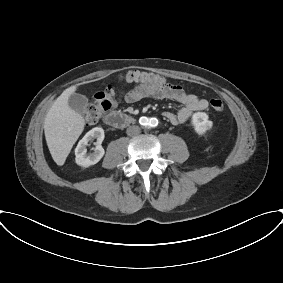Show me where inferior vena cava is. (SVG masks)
Wrapping results in <instances>:
<instances>
[{
	"instance_id": "1",
	"label": "inferior vena cava",
	"mask_w": 283,
	"mask_h": 283,
	"mask_svg": "<svg viewBox=\"0 0 283 283\" xmlns=\"http://www.w3.org/2000/svg\"><path fill=\"white\" fill-rule=\"evenodd\" d=\"M140 132V128L138 126H129L126 130L128 136H134Z\"/></svg>"
}]
</instances>
